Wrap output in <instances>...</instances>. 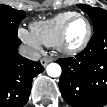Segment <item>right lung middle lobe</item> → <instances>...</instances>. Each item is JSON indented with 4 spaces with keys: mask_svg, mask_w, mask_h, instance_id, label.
<instances>
[{
    "mask_svg": "<svg viewBox=\"0 0 107 107\" xmlns=\"http://www.w3.org/2000/svg\"><path fill=\"white\" fill-rule=\"evenodd\" d=\"M24 17V11H18L10 6L0 5V37L16 39L18 26Z\"/></svg>",
    "mask_w": 107,
    "mask_h": 107,
    "instance_id": "obj_1",
    "label": "right lung middle lobe"
}]
</instances>
